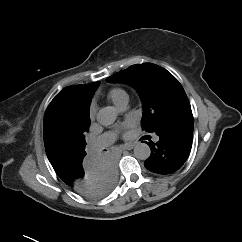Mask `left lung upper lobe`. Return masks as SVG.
<instances>
[{"mask_svg": "<svg viewBox=\"0 0 242 242\" xmlns=\"http://www.w3.org/2000/svg\"><path fill=\"white\" fill-rule=\"evenodd\" d=\"M106 80L124 82L136 88L143 102L141 125L146 132H154L166 121L191 111L182 85L171 73L158 65H132Z\"/></svg>", "mask_w": 242, "mask_h": 242, "instance_id": "1", "label": "left lung upper lobe"}]
</instances>
